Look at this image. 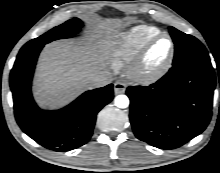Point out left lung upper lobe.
<instances>
[{"label": "left lung upper lobe", "instance_id": "1", "mask_svg": "<svg viewBox=\"0 0 220 173\" xmlns=\"http://www.w3.org/2000/svg\"><path fill=\"white\" fill-rule=\"evenodd\" d=\"M169 32L175 44L173 65L193 59H209L206 48L198 39L173 27H169Z\"/></svg>", "mask_w": 220, "mask_h": 173}]
</instances>
